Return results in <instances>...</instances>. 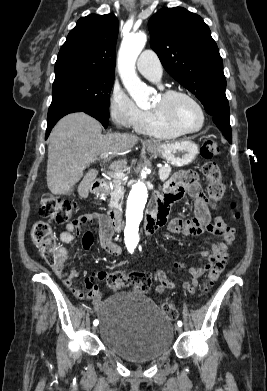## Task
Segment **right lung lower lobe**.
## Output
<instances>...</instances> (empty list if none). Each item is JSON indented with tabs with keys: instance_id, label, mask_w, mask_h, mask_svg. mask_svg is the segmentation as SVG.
Masks as SVG:
<instances>
[{
	"instance_id": "right-lung-lower-lobe-1",
	"label": "right lung lower lobe",
	"mask_w": 267,
	"mask_h": 391,
	"mask_svg": "<svg viewBox=\"0 0 267 391\" xmlns=\"http://www.w3.org/2000/svg\"><path fill=\"white\" fill-rule=\"evenodd\" d=\"M72 112H85V113L91 115L92 117L96 118L98 121H100L101 124L105 128H107V126H108V119H109L108 115L103 114V113H101L97 110H94V109H86V108L79 107V106H69V107L62 108V109L48 115V117H47V130H46V137L45 138L46 139L48 138L51 129L54 127V125L57 123V121L59 119H61L63 116H65L69 113H72Z\"/></svg>"
}]
</instances>
